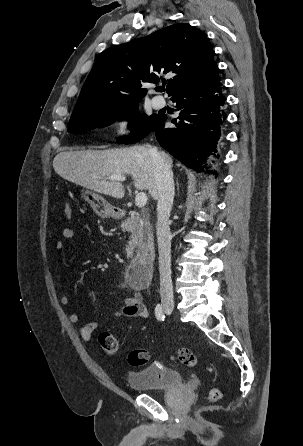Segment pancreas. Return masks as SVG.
Instances as JSON below:
<instances>
[{"label":"pancreas","instance_id":"obj_1","mask_svg":"<svg viewBox=\"0 0 303 446\" xmlns=\"http://www.w3.org/2000/svg\"><path fill=\"white\" fill-rule=\"evenodd\" d=\"M123 231L130 232L129 241L126 245V254L128 258L144 255L153 251V233L152 227L147 216H138L132 214L127 220L121 222Z\"/></svg>","mask_w":303,"mask_h":446}]
</instances>
